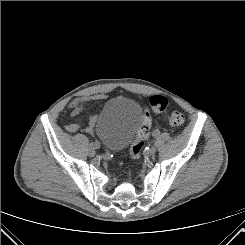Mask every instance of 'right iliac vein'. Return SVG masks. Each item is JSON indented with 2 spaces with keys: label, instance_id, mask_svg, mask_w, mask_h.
<instances>
[{
  "label": "right iliac vein",
  "instance_id": "1",
  "mask_svg": "<svg viewBox=\"0 0 245 245\" xmlns=\"http://www.w3.org/2000/svg\"><path fill=\"white\" fill-rule=\"evenodd\" d=\"M94 143L91 142L89 144V147H88V154H89V156H94L95 155Z\"/></svg>",
  "mask_w": 245,
  "mask_h": 245
}]
</instances>
